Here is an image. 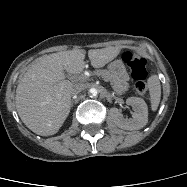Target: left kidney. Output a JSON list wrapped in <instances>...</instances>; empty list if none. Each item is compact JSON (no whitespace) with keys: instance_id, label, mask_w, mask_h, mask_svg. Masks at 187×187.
<instances>
[{"instance_id":"left-kidney-1","label":"left kidney","mask_w":187,"mask_h":187,"mask_svg":"<svg viewBox=\"0 0 187 187\" xmlns=\"http://www.w3.org/2000/svg\"><path fill=\"white\" fill-rule=\"evenodd\" d=\"M126 103L134 108L133 118L126 120L117 108H112L110 113L114 123L127 130L143 128L148 122V108L145 101L138 97H130L126 100Z\"/></svg>"}]
</instances>
